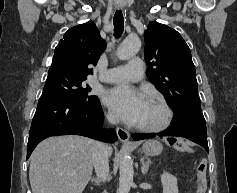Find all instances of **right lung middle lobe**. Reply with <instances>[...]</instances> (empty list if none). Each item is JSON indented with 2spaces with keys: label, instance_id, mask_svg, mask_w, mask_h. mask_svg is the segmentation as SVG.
<instances>
[{
  "label": "right lung middle lobe",
  "instance_id": "1",
  "mask_svg": "<svg viewBox=\"0 0 237 193\" xmlns=\"http://www.w3.org/2000/svg\"><path fill=\"white\" fill-rule=\"evenodd\" d=\"M85 80L60 72H48L42 96H57L78 105L99 101L97 96L90 94L91 87L83 83Z\"/></svg>",
  "mask_w": 237,
  "mask_h": 193
}]
</instances>
